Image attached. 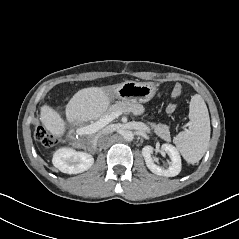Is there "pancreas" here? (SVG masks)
Instances as JSON below:
<instances>
[{
	"label": "pancreas",
	"instance_id": "cf45deb5",
	"mask_svg": "<svg viewBox=\"0 0 239 239\" xmlns=\"http://www.w3.org/2000/svg\"><path fill=\"white\" fill-rule=\"evenodd\" d=\"M122 110L124 112H131L134 115H141L144 113L145 108L143 105L139 103H130V102H117L116 104L112 105L108 111L107 115H110L111 113ZM151 129L154 131V133L159 136L161 139L170 142L171 137H170V132H169V127L165 124H155V123H150Z\"/></svg>",
	"mask_w": 239,
	"mask_h": 239
}]
</instances>
